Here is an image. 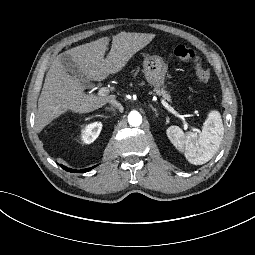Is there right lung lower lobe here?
Returning a JSON list of instances; mask_svg holds the SVG:
<instances>
[{
    "mask_svg": "<svg viewBox=\"0 0 255 255\" xmlns=\"http://www.w3.org/2000/svg\"><path fill=\"white\" fill-rule=\"evenodd\" d=\"M61 167H62L64 170L69 171V172H72V173H83V172H87V171L93 169L95 166L90 167V168H87V169H82V170H74V169L65 167V166H63V165H61Z\"/></svg>",
    "mask_w": 255,
    "mask_h": 255,
    "instance_id": "obj_1",
    "label": "right lung lower lobe"
}]
</instances>
